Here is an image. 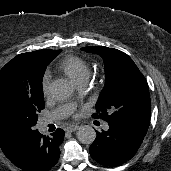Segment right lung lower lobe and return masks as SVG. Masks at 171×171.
<instances>
[{"instance_id": "obj_1", "label": "right lung lower lobe", "mask_w": 171, "mask_h": 171, "mask_svg": "<svg viewBox=\"0 0 171 171\" xmlns=\"http://www.w3.org/2000/svg\"><path fill=\"white\" fill-rule=\"evenodd\" d=\"M64 135L62 129L50 136L38 132L10 161L24 171H49L59 159Z\"/></svg>"}]
</instances>
